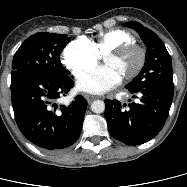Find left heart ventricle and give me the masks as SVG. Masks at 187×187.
<instances>
[{"mask_svg":"<svg viewBox=\"0 0 187 187\" xmlns=\"http://www.w3.org/2000/svg\"><path fill=\"white\" fill-rule=\"evenodd\" d=\"M138 59L137 51H129L119 57L107 56L103 58V62L112 67L121 77H124L136 67Z\"/></svg>","mask_w":187,"mask_h":187,"instance_id":"obj_1","label":"left heart ventricle"}]
</instances>
